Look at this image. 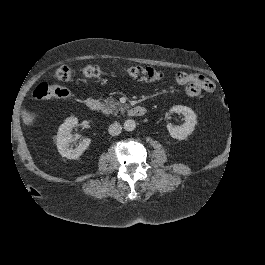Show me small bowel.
<instances>
[{"label":"small bowel","instance_id":"obj_1","mask_svg":"<svg viewBox=\"0 0 265 265\" xmlns=\"http://www.w3.org/2000/svg\"><path fill=\"white\" fill-rule=\"evenodd\" d=\"M175 80L178 84L185 86L186 94L190 97H196L202 91L211 92L214 89L213 82L200 74L179 72L176 74Z\"/></svg>","mask_w":265,"mask_h":265}]
</instances>
